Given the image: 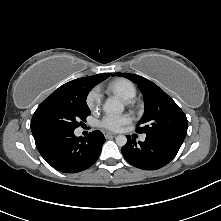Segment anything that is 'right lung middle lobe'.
I'll return each instance as SVG.
<instances>
[{
    "label": "right lung middle lobe",
    "instance_id": "right-lung-middle-lobe-1",
    "mask_svg": "<svg viewBox=\"0 0 221 221\" xmlns=\"http://www.w3.org/2000/svg\"><path fill=\"white\" fill-rule=\"evenodd\" d=\"M94 85H86L77 96H49L36 109L31 120L33 136L53 130H75L86 121L90 110L86 97Z\"/></svg>",
    "mask_w": 221,
    "mask_h": 221
}]
</instances>
